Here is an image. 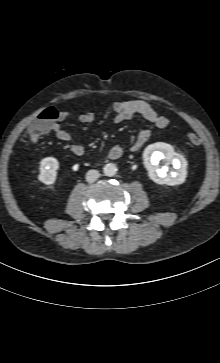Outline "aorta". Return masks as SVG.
<instances>
[{"label":"aorta","mask_w":220,"mask_h":363,"mask_svg":"<svg viewBox=\"0 0 220 363\" xmlns=\"http://www.w3.org/2000/svg\"><path fill=\"white\" fill-rule=\"evenodd\" d=\"M117 171V166L113 163H108L103 168V173L109 177L115 176Z\"/></svg>","instance_id":"1"}]
</instances>
